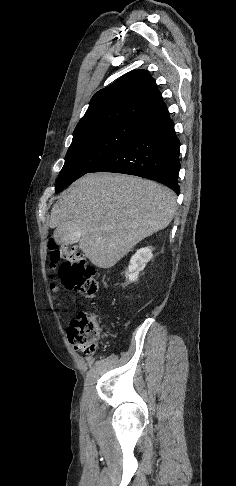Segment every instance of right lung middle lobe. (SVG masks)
Instances as JSON below:
<instances>
[{
	"instance_id": "1",
	"label": "right lung middle lobe",
	"mask_w": 236,
	"mask_h": 486,
	"mask_svg": "<svg viewBox=\"0 0 236 486\" xmlns=\"http://www.w3.org/2000/svg\"><path fill=\"white\" fill-rule=\"evenodd\" d=\"M138 125L114 124L74 135L65 164L58 176L55 192H61L118 150L136 134Z\"/></svg>"
}]
</instances>
